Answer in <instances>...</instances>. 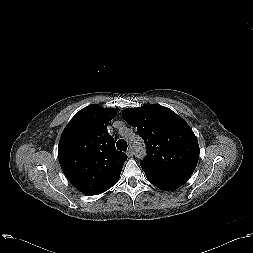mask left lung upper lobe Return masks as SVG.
I'll return each mask as SVG.
<instances>
[{"label": "left lung upper lobe", "mask_w": 253, "mask_h": 253, "mask_svg": "<svg viewBox=\"0 0 253 253\" xmlns=\"http://www.w3.org/2000/svg\"><path fill=\"white\" fill-rule=\"evenodd\" d=\"M122 116L144 139L147 155L140 164L194 171L199 145L190 126L169 108L145 105L126 109Z\"/></svg>", "instance_id": "obj_1"}]
</instances>
